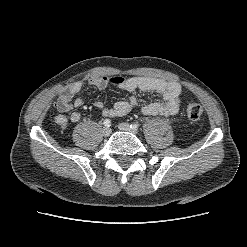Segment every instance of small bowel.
Instances as JSON below:
<instances>
[{"mask_svg": "<svg viewBox=\"0 0 247 247\" xmlns=\"http://www.w3.org/2000/svg\"><path fill=\"white\" fill-rule=\"evenodd\" d=\"M89 84L105 89L108 85H115L120 89L134 93L136 91L154 92L162 96V101H151L143 106L142 112L145 115H160L169 117L176 115L180 110L182 89L178 82L165 81L155 77H123V76H103L89 79ZM83 88L82 81H76L66 87L55 102L56 114L52 119L60 127H65L69 121L76 123L81 119L79 112H72L69 118L66 112L73 107L79 108L84 105V100L77 94ZM137 104V98L131 95L127 100L116 102L112 107H107L102 101H95L94 106L102 110L106 117H117L128 114Z\"/></svg>", "mask_w": 247, "mask_h": 247, "instance_id": "small-bowel-1", "label": "small bowel"}]
</instances>
